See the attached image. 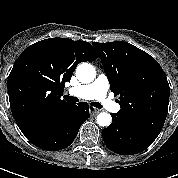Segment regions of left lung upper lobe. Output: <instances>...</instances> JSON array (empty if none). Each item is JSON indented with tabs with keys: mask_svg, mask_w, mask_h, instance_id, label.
I'll return each instance as SVG.
<instances>
[{
	"mask_svg": "<svg viewBox=\"0 0 178 178\" xmlns=\"http://www.w3.org/2000/svg\"><path fill=\"white\" fill-rule=\"evenodd\" d=\"M110 89L121 109L118 116L159 134L169 104L170 87L159 63L148 53L123 42L93 43Z\"/></svg>",
	"mask_w": 178,
	"mask_h": 178,
	"instance_id": "5c2ea615",
	"label": "left lung upper lobe"
}]
</instances>
